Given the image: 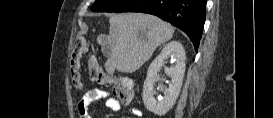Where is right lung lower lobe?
I'll return each instance as SVG.
<instances>
[{
    "instance_id": "right-lung-lower-lobe-1",
    "label": "right lung lower lobe",
    "mask_w": 273,
    "mask_h": 118,
    "mask_svg": "<svg viewBox=\"0 0 273 118\" xmlns=\"http://www.w3.org/2000/svg\"><path fill=\"white\" fill-rule=\"evenodd\" d=\"M206 0H128L115 12L156 15L184 31L197 51L205 23Z\"/></svg>"
}]
</instances>
